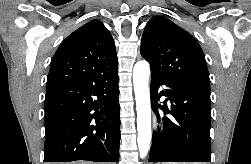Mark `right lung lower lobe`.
<instances>
[{"label":"right lung lower lobe","instance_id":"obj_1","mask_svg":"<svg viewBox=\"0 0 251 164\" xmlns=\"http://www.w3.org/2000/svg\"><path fill=\"white\" fill-rule=\"evenodd\" d=\"M117 67L46 90L44 162H118Z\"/></svg>","mask_w":251,"mask_h":164}]
</instances>
